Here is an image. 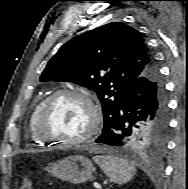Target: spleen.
<instances>
[{"instance_id": "spleen-1", "label": "spleen", "mask_w": 188, "mask_h": 189, "mask_svg": "<svg viewBox=\"0 0 188 189\" xmlns=\"http://www.w3.org/2000/svg\"><path fill=\"white\" fill-rule=\"evenodd\" d=\"M93 160L103 170L110 181L120 185L129 182L136 172L133 164L115 156L97 155L93 157Z\"/></svg>"}]
</instances>
